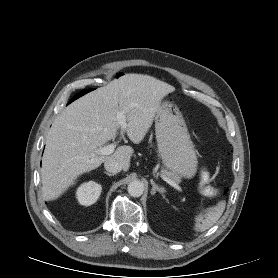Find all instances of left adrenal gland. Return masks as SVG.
I'll use <instances>...</instances> for the list:
<instances>
[{
	"label": "left adrenal gland",
	"mask_w": 278,
	"mask_h": 278,
	"mask_svg": "<svg viewBox=\"0 0 278 278\" xmlns=\"http://www.w3.org/2000/svg\"><path fill=\"white\" fill-rule=\"evenodd\" d=\"M151 185H152V189H151V195H154L156 192H159L160 194L164 195V188L163 187H159L154 181L153 179L150 180Z\"/></svg>",
	"instance_id": "obj_1"
}]
</instances>
